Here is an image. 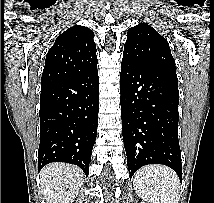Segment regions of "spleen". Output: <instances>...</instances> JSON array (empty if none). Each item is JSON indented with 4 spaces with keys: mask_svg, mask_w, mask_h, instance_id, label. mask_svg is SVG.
Returning a JSON list of instances; mask_svg holds the SVG:
<instances>
[{
    "mask_svg": "<svg viewBox=\"0 0 214 203\" xmlns=\"http://www.w3.org/2000/svg\"><path fill=\"white\" fill-rule=\"evenodd\" d=\"M133 187L138 196L150 203H178L180 181L166 166L150 165L138 170Z\"/></svg>",
    "mask_w": 214,
    "mask_h": 203,
    "instance_id": "obj_1",
    "label": "spleen"
}]
</instances>
